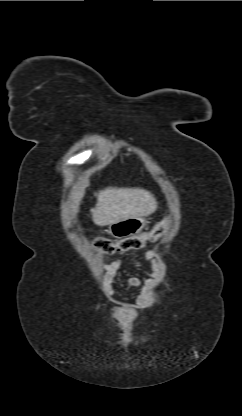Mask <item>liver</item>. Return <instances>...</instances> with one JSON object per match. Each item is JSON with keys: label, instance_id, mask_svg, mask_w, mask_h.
Returning <instances> with one entry per match:
<instances>
[{"label": "liver", "instance_id": "obj_1", "mask_svg": "<svg viewBox=\"0 0 242 416\" xmlns=\"http://www.w3.org/2000/svg\"><path fill=\"white\" fill-rule=\"evenodd\" d=\"M87 181L75 185L71 199L79 201L84 196ZM97 203L91 209L92 220L98 226H107L112 223L148 216L157 209L155 197L147 190L141 188L107 187L97 194Z\"/></svg>", "mask_w": 242, "mask_h": 416}]
</instances>
